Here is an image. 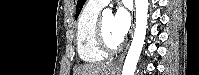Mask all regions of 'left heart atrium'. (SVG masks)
<instances>
[{
	"label": "left heart atrium",
	"mask_w": 199,
	"mask_h": 75,
	"mask_svg": "<svg viewBox=\"0 0 199 75\" xmlns=\"http://www.w3.org/2000/svg\"><path fill=\"white\" fill-rule=\"evenodd\" d=\"M131 19L127 10L119 8L113 17L112 29L116 37L122 41L129 30Z\"/></svg>",
	"instance_id": "obj_1"
}]
</instances>
